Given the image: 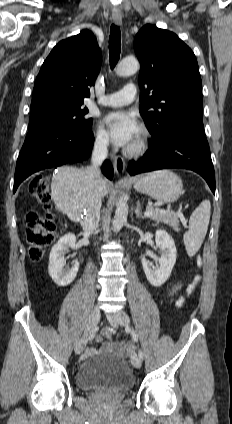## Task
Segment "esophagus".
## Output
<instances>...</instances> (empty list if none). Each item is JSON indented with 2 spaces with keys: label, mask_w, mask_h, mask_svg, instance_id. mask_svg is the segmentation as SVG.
Here are the masks:
<instances>
[{
  "label": "esophagus",
  "mask_w": 232,
  "mask_h": 424,
  "mask_svg": "<svg viewBox=\"0 0 232 424\" xmlns=\"http://www.w3.org/2000/svg\"><path fill=\"white\" fill-rule=\"evenodd\" d=\"M112 19L113 22L116 25H121L122 23V16L120 12H113L112 13ZM113 164H114V170L117 175H120L125 170V161L121 156L115 155L113 157Z\"/></svg>",
  "instance_id": "34e87169"
}]
</instances>
